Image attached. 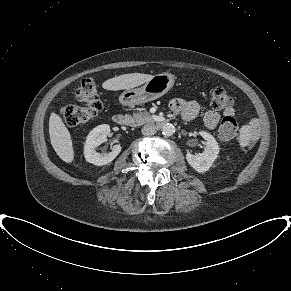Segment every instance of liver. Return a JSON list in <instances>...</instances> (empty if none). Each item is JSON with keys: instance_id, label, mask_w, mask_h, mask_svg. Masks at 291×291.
<instances>
[{"instance_id": "1", "label": "liver", "mask_w": 291, "mask_h": 291, "mask_svg": "<svg viewBox=\"0 0 291 291\" xmlns=\"http://www.w3.org/2000/svg\"><path fill=\"white\" fill-rule=\"evenodd\" d=\"M153 76L143 73L123 74L110 78L103 82L102 87L106 90H128L140 86L149 81ZM49 135L53 149L57 155L66 163L74 160V150L69 130L62 118L52 112L49 119Z\"/></svg>"}]
</instances>
